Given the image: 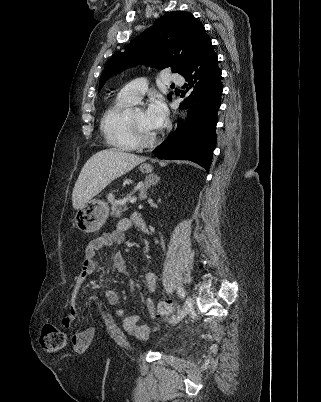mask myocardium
<instances>
[{"mask_svg": "<svg viewBox=\"0 0 321 402\" xmlns=\"http://www.w3.org/2000/svg\"><path fill=\"white\" fill-rule=\"evenodd\" d=\"M126 124L131 137L139 147H148L156 142L158 138L157 134L155 133L154 135L149 137L144 136L135 128L130 116H127Z\"/></svg>", "mask_w": 321, "mask_h": 402, "instance_id": "obj_1", "label": "myocardium"}]
</instances>
